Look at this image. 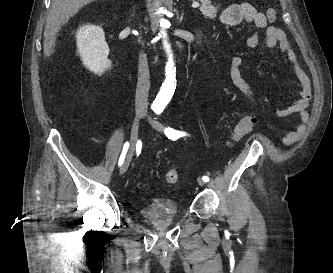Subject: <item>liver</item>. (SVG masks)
<instances>
[{"label": "liver", "mask_w": 333, "mask_h": 273, "mask_svg": "<svg viewBox=\"0 0 333 273\" xmlns=\"http://www.w3.org/2000/svg\"><path fill=\"white\" fill-rule=\"evenodd\" d=\"M96 0H53L44 31V55L49 57L55 47L56 35L62 25L85 5Z\"/></svg>", "instance_id": "obj_1"}]
</instances>
